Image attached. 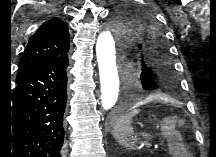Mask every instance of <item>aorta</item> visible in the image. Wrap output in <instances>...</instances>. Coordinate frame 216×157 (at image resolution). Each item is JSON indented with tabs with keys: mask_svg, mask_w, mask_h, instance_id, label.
Instances as JSON below:
<instances>
[{
	"mask_svg": "<svg viewBox=\"0 0 216 157\" xmlns=\"http://www.w3.org/2000/svg\"><path fill=\"white\" fill-rule=\"evenodd\" d=\"M96 56L101 85L103 109H111L119 96V76L116 67L115 42L110 31L100 33L96 43Z\"/></svg>",
	"mask_w": 216,
	"mask_h": 157,
	"instance_id": "1",
	"label": "aorta"
}]
</instances>
